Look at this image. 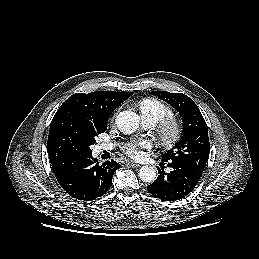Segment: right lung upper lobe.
Wrapping results in <instances>:
<instances>
[{
  "instance_id": "right-lung-upper-lobe-1",
  "label": "right lung upper lobe",
  "mask_w": 259,
  "mask_h": 259,
  "mask_svg": "<svg viewBox=\"0 0 259 259\" xmlns=\"http://www.w3.org/2000/svg\"><path fill=\"white\" fill-rule=\"evenodd\" d=\"M131 95L133 92L111 91L73 94L61 105L52 122L60 116L70 115L88 120L98 128L107 127L111 113Z\"/></svg>"
}]
</instances>
